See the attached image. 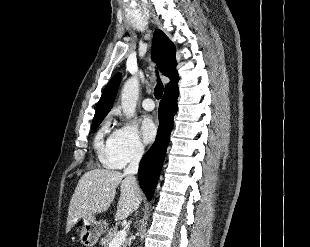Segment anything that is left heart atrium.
Returning a JSON list of instances; mask_svg holds the SVG:
<instances>
[{"label": "left heart atrium", "instance_id": "left-heart-atrium-1", "mask_svg": "<svg viewBox=\"0 0 310 247\" xmlns=\"http://www.w3.org/2000/svg\"><path fill=\"white\" fill-rule=\"evenodd\" d=\"M141 132L146 142H151L155 138L157 129L154 122L149 117L142 120Z\"/></svg>", "mask_w": 310, "mask_h": 247}]
</instances>
